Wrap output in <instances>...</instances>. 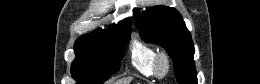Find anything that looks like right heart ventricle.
Wrapping results in <instances>:
<instances>
[{"label":"right heart ventricle","mask_w":260,"mask_h":84,"mask_svg":"<svg viewBox=\"0 0 260 84\" xmlns=\"http://www.w3.org/2000/svg\"><path fill=\"white\" fill-rule=\"evenodd\" d=\"M157 51L140 41H135L131 49V63L133 67L146 77L154 76V63Z\"/></svg>","instance_id":"right-heart-ventricle-1"}]
</instances>
